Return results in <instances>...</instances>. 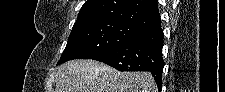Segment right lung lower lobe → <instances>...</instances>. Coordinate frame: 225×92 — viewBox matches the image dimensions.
Returning a JSON list of instances; mask_svg holds the SVG:
<instances>
[{"label":"right lung lower lobe","mask_w":225,"mask_h":92,"mask_svg":"<svg viewBox=\"0 0 225 92\" xmlns=\"http://www.w3.org/2000/svg\"><path fill=\"white\" fill-rule=\"evenodd\" d=\"M163 30L160 27L150 29L133 40L108 49L94 56L119 71H149L157 87H162L164 61L162 57Z\"/></svg>","instance_id":"1"}]
</instances>
